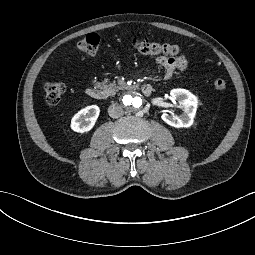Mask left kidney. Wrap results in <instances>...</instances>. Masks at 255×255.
Wrapping results in <instances>:
<instances>
[{
    "label": "left kidney",
    "instance_id": "left-kidney-1",
    "mask_svg": "<svg viewBox=\"0 0 255 255\" xmlns=\"http://www.w3.org/2000/svg\"><path fill=\"white\" fill-rule=\"evenodd\" d=\"M170 95L171 100L179 102V105L183 108V113L177 116L164 112L161 116L162 120L175 128L190 127L193 124L197 110V97L188 90L181 88L171 90Z\"/></svg>",
    "mask_w": 255,
    "mask_h": 255
}]
</instances>
